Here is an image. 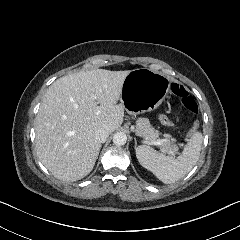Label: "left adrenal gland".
I'll return each mask as SVG.
<instances>
[{
  "label": "left adrenal gland",
  "instance_id": "obj_1",
  "mask_svg": "<svg viewBox=\"0 0 240 240\" xmlns=\"http://www.w3.org/2000/svg\"><path fill=\"white\" fill-rule=\"evenodd\" d=\"M134 141H135V148L137 147V139L136 137H134Z\"/></svg>",
  "mask_w": 240,
  "mask_h": 240
}]
</instances>
